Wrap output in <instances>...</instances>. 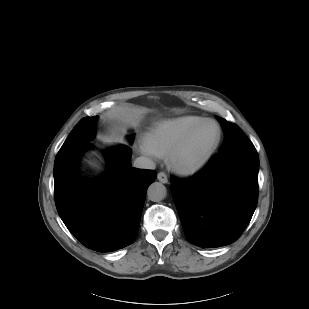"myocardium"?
<instances>
[{"label":"myocardium","instance_id":"obj_1","mask_svg":"<svg viewBox=\"0 0 309 309\" xmlns=\"http://www.w3.org/2000/svg\"><path fill=\"white\" fill-rule=\"evenodd\" d=\"M213 124L217 128V137L212 145L208 148L202 157L194 162H187L183 158V153L190 141L194 138V136L206 125ZM222 139V129L220 125L212 119L203 120L196 126H194L175 146L173 151L169 156V162L171 167L179 174L182 175H193L201 170H203L210 160L212 159L215 151L220 145Z\"/></svg>","mask_w":309,"mask_h":309}]
</instances>
